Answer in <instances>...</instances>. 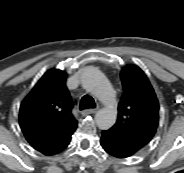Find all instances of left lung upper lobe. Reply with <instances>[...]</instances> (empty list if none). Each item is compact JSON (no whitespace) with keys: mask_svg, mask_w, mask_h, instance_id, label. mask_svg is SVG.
<instances>
[{"mask_svg":"<svg viewBox=\"0 0 184 173\" xmlns=\"http://www.w3.org/2000/svg\"><path fill=\"white\" fill-rule=\"evenodd\" d=\"M123 95L118 105V118L109 130L135 152L153 138L159 121V103L144 72L136 65L121 71Z\"/></svg>","mask_w":184,"mask_h":173,"instance_id":"5c2ea615","label":"left lung upper lobe"}]
</instances>
